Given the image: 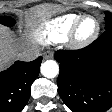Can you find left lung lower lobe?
<instances>
[{
    "mask_svg": "<svg viewBox=\"0 0 112 112\" xmlns=\"http://www.w3.org/2000/svg\"><path fill=\"white\" fill-rule=\"evenodd\" d=\"M58 93L73 112H104L112 107V28L79 50H59Z\"/></svg>",
    "mask_w": 112,
    "mask_h": 112,
    "instance_id": "obj_1",
    "label": "left lung lower lobe"
}]
</instances>
